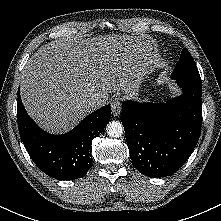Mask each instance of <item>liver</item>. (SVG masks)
<instances>
[{
  "label": "liver",
  "mask_w": 221,
  "mask_h": 221,
  "mask_svg": "<svg viewBox=\"0 0 221 221\" xmlns=\"http://www.w3.org/2000/svg\"><path fill=\"white\" fill-rule=\"evenodd\" d=\"M151 41L130 35L62 38L41 46L21 76V99L39 126L50 133L73 128L109 93L134 94L155 64Z\"/></svg>",
  "instance_id": "liver-1"
}]
</instances>
